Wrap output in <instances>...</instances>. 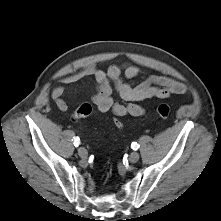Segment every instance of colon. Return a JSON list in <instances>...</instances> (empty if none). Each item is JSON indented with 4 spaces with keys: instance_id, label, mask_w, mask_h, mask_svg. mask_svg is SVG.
Masks as SVG:
<instances>
[{
    "instance_id": "1",
    "label": "colon",
    "mask_w": 221,
    "mask_h": 221,
    "mask_svg": "<svg viewBox=\"0 0 221 221\" xmlns=\"http://www.w3.org/2000/svg\"><path fill=\"white\" fill-rule=\"evenodd\" d=\"M92 112V106L88 103H84L78 106L72 113L74 120H80L89 116ZM158 116L162 119H168L171 115V109L166 104H160L156 110ZM112 127L114 129H121L123 127V120L121 118H112Z\"/></svg>"
}]
</instances>
